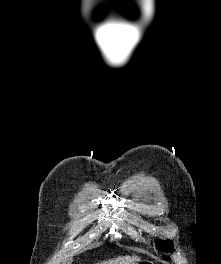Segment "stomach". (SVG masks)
Here are the masks:
<instances>
[{
    "label": "stomach",
    "mask_w": 221,
    "mask_h": 264,
    "mask_svg": "<svg viewBox=\"0 0 221 264\" xmlns=\"http://www.w3.org/2000/svg\"><path fill=\"white\" fill-rule=\"evenodd\" d=\"M135 264H154L152 261H148V260H140Z\"/></svg>",
    "instance_id": "1"
}]
</instances>
